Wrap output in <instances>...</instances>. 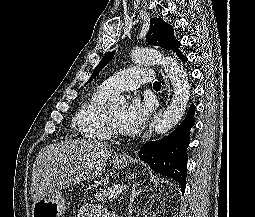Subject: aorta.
I'll list each match as a JSON object with an SVG mask.
<instances>
[{
    "instance_id": "762f6f07",
    "label": "aorta",
    "mask_w": 255,
    "mask_h": 217,
    "mask_svg": "<svg viewBox=\"0 0 255 217\" xmlns=\"http://www.w3.org/2000/svg\"><path fill=\"white\" fill-rule=\"evenodd\" d=\"M132 60L137 64H160L171 81L173 98L161 118L154 122L155 133L165 134L182 119L186 111L190 97L187 74L176 60L165 57L162 53L153 49H135L132 52ZM126 105L127 102L122 97L115 98L109 103L110 108L125 107Z\"/></svg>"
}]
</instances>
